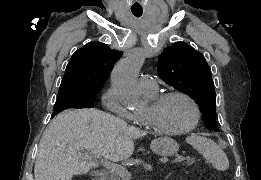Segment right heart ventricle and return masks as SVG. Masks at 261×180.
Masks as SVG:
<instances>
[{"instance_id": "e07e8e85", "label": "right heart ventricle", "mask_w": 261, "mask_h": 180, "mask_svg": "<svg viewBox=\"0 0 261 180\" xmlns=\"http://www.w3.org/2000/svg\"><path fill=\"white\" fill-rule=\"evenodd\" d=\"M145 94H146V96H153V95H155L156 93L153 92V93H145Z\"/></svg>"}]
</instances>
